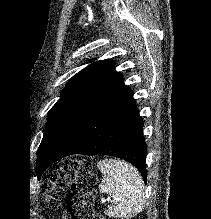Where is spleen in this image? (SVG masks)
Listing matches in <instances>:
<instances>
[{
    "label": "spleen",
    "mask_w": 211,
    "mask_h": 219,
    "mask_svg": "<svg viewBox=\"0 0 211 219\" xmlns=\"http://www.w3.org/2000/svg\"><path fill=\"white\" fill-rule=\"evenodd\" d=\"M97 167L103 177L100 191L113 198L106 214L129 219L140 213L145 203V192L139 172L127 162L115 159L100 160Z\"/></svg>",
    "instance_id": "3e777b00"
}]
</instances>
